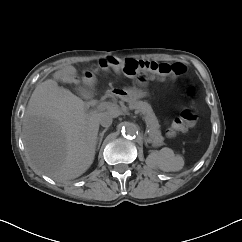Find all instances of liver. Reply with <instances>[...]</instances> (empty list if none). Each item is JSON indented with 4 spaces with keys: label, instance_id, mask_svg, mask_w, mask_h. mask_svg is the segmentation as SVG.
<instances>
[{
    "label": "liver",
    "instance_id": "obj_1",
    "mask_svg": "<svg viewBox=\"0 0 242 242\" xmlns=\"http://www.w3.org/2000/svg\"><path fill=\"white\" fill-rule=\"evenodd\" d=\"M77 70L66 65L38 84L28 102L23 119L25 150L33 169L56 181L78 178L95 157L99 118L102 113L87 112L85 102L57 81L73 83ZM84 99L93 94L80 89ZM112 117L121 114L109 110Z\"/></svg>",
    "mask_w": 242,
    "mask_h": 242
}]
</instances>
